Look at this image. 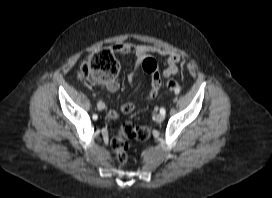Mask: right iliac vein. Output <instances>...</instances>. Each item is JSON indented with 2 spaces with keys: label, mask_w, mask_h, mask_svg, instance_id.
Here are the masks:
<instances>
[{
  "label": "right iliac vein",
  "mask_w": 272,
  "mask_h": 198,
  "mask_svg": "<svg viewBox=\"0 0 272 198\" xmlns=\"http://www.w3.org/2000/svg\"><path fill=\"white\" fill-rule=\"evenodd\" d=\"M98 108L101 110V109H103V108H104V106H102V107L98 106Z\"/></svg>",
  "instance_id": "63e3f726"
}]
</instances>
